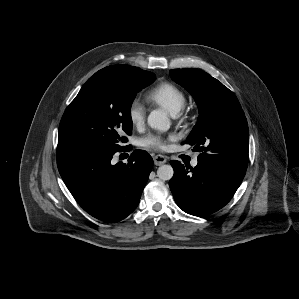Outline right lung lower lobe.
I'll use <instances>...</instances> for the list:
<instances>
[{
	"instance_id": "98d812e1",
	"label": "right lung lower lobe",
	"mask_w": 299,
	"mask_h": 299,
	"mask_svg": "<svg viewBox=\"0 0 299 299\" xmlns=\"http://www.w3.org/2000/svg\"><path fill=\"white\" fill-rule=\"evenodd\" d=\"M115 153L57 147V166L67 188L86 212L107 222L120 221L135 210L153 167L144 150H135L128 164L113 165Z\"/></svg>"
}]
</instances>
